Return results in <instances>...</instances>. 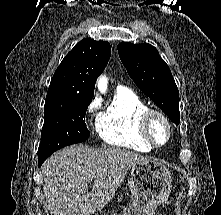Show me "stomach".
Instances as JSON below:
<instances>
[{"label":"stomach","instance_id":"1","mask_svg":"<svg viewBox=\"0 0 221 215\" xmlns=\"http://www.w3.org/2000/svg\"><path fill=\"white\" fill-rule=\"evenodd\" d=\"M172 181L169 169L160 162L148 160L133 165L128 182L132 202L123 215H154L156 208L167 201Z\"/></svg>","mask_w":221,"mask_h":215}]
</instances>
